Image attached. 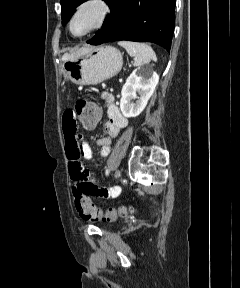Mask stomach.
I'll return each mask as SVG.
<instances>
[{
    "label": "stomach",
    "mask_w": 240,
    "mask_h": 288,
    "mask_svg": "<svg viewBox=\"0 0 240 288\" xmlns=\"http://www.w3.org/2000/svg\"><path fill=\"white\" fill-rule=\"evenodd\" d=\"M123 65L120 51L112 46L87 48L62 63L64 80L95 85L117 75Z\"/></svg>",
    "instance_id": "1"
}]
</instances>
